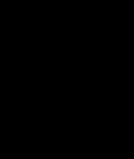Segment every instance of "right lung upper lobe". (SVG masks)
<instances>
[{"label":"right lung upper lobe","mask_w":134,"mask_h":159,"mask_svg":"<svg viewBox=\"0 0 134 159\" xmlns=\"http://www.w3.org/2000/svg\"><path fill=\"white\" fill-rule=\"evenodd\" d=\"M34 89V88H33ZM37 96H39V91L38 90H36V88L33 90V94H29V95H27V96H25L24 98H23V104H25V105H30V104H32L33 103V101H34V97H37Z\"/></svg>","instance_id":"right-lung-upper-lobe-1"}]
</instances>
